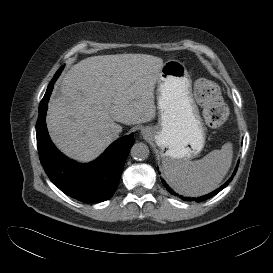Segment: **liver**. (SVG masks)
Instances as JSON below:
<instances>
[{"instance_id":"1","label":"liver","mask_w":273,"mask_h":273,"mask_svg":"<svg viewBox=\"0 0 273 273\" xmlns=\"http://www.w3.org/2000/svg\"><path fill=\"white\" fill-rule=\"evenodd\" d=\"M164 63L147 54L92 56L64 75L60 95L50 100L47 124L68 157L93 161L111 144L117 124L155 118L154 89Z\"/></svg>"}]
</instances>
